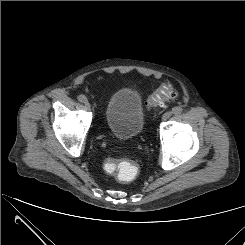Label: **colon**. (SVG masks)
Instances as JSON below:
<instances>
[{"mask_svg": "<svg viewBox=\"0 0 245 245\" xmlns=\"http://www.w3.org/2000/svg\"><path fill=\"white\" fill-rule=\"evenodd\" d=\"M175 97L176 91L174 88L170 84L164 83L160 85L149 98L148 106L156 107L164 101L174 99ZM103 168L107 174L114 176L118 181L123 183L132 181L136 172L134 163L129 160L120 162L107 161Z\"/></svg>", "mask_w": 245, "mask_h": 245, "instance_id": "obj_1", "label": "colon"}]
</instances>
